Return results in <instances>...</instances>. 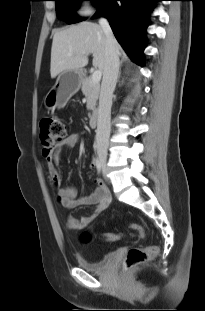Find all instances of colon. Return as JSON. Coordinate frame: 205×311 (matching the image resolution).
Segmentation results:
<instances>
[{
    "instance_id": "1",
    "label": "colon",
    "mask_w": 205,
    "mask_h": 311,
    "mask_svg": "<svg viewBox=\"0 0 205 311\" xmlns=\"http://www.w3.org/2000/svg\"><path fill=\"white\" fill-rule=\"evenodd\" d=\"M66 136V128L64 122L56 116H48L40 122V140L43 147V155L49 158L51 148L63 141ZM129 228L134 231L139 237L144 235L143 228L139 224H130ZM121 238L120 234L106 233L102 235V239L106 242H116ZM81 243L88 244L93 239V234L86 228L82 227L79 233ZM158 253V248L155 246L138 248L134 247L128 250L122 267L124 270L132 269L138 265L148 262Z\"/></svg>"
}]
</instances>
